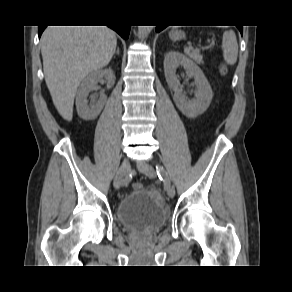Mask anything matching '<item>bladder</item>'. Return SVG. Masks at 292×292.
Wrapping results in <instances>:
<instances>
[{"instance_id": "1", "label": "bladder", "mask_w": 292, "mask_h": 292, "mask_svg": "<svg viewBox=\"0 0 292 292\" xmlns=\"http://www.w3.org/2000/svg\"><path fill=\"white\" fill-rule=\"evenodd\" d=\"M117 218L129 230L151 233L165 224L168 208L158 191L142 188L128 193L119 201Z\"/></svg>"}]
</instances>
